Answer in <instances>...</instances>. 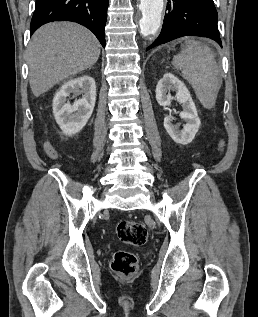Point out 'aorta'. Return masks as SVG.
Wrapping results in <instances>:
<instances>
[{
	"mask_svg": "<svg viewBox=\"0 0 258 317\" xmlns=\"http://www.w3.org/2000/svg\"><path fill=\"white\" fill-rule=\"evenodd\" d=\"M163 0H140L139 9L142 13L140 19V33L143 36L154 35L161 25Z\"/></svg>",
	"mask_w": 258,
	"mask_h": 317,
	"instance_id": "obj_1",
	"label": "aorta"
}]
</instances>
